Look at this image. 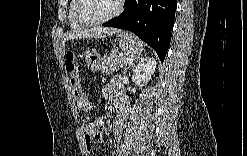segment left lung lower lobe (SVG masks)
Masks as SVG:
<instances>
[{
  "label": "left lung lower lobe",
  "instance_id": "left-lung-lower-lobe-1",
  "mask_svg": "<svg viewBox=\"0 0 247 156\" xmlns=\"http://www.w3.org/2000/svg\"><path fill=\"white\" fill-rule=\"evenodd\" d=\"M125 9L117 18L102 24L133 32L164 61L174 26L176 0H125Z\"/></svg>",
  "mask_w": 247,
  "mask_h": 156
}]
</instances>
